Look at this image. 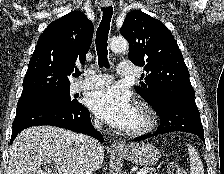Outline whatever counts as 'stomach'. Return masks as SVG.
Returning a JSON list of instances; mask_svg holds the SVG:
<instances>
[{
	"instance_id": "1",
	"label": "stomach",
	"mask_w": 224,
	"mask_h": 174,
	"mask_svg": "<svg viewBox=\"0 0 224 174\" xmlns=\"http://www.w3.org/2000/svg\"><path fill=\"white\" fill-rule=\"evenodd\" d=\"M118 153L126 156L132 163L142 166L154 165L161 157L159 149L144 143L132 145L127 151Z\"/></svg>"
}]
</instances>
